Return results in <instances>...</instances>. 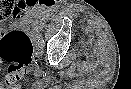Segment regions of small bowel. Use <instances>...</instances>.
<instances>
[{
  "instance_id": "c3829d8e",
  "label": "small bowel",
  "mask_w": 131,
  "mask_h": 89,
  "mask_svg": "<svg viewBox=\"0 0 131 89\" xmlns=\"http://www.w3.org/2000/svg\"><path fill=\"white\" fill-rule=\"evenodd\" d=\"M33 15L36 17H40V16H44L45 13L42 10H40L39 8H35L33 10Z\"/></svg>"
}]
</instances>
